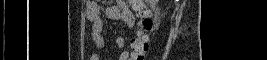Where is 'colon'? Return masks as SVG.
I'll return each mask as SVG.
<instances>
[{"label":"colon","instance_id":"5ec220e1","mask_svg":"<svg viewBox=\"0 0 267 60\" xmlns=\"http://www.w3.org/2000/svg\"><path fill=\"white\" fill-rule=\"evenodd\" d=\"M131 4L143 26V30L138 31L133 38L131 59L144 60L150 47L149 35L155 26L154 14L145 1L132 0Z\"/></svg>","mask_w":267,"mask_h":60}]
</instances>
